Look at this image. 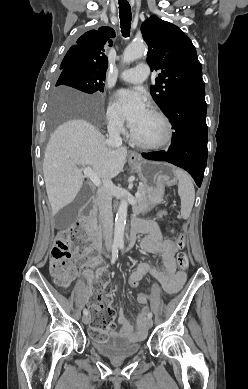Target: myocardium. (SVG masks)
<instances>
[{"instance_id":"1","label":"myocardium","mask_w":248,"mask_h":389,"mask_svg":"<svg viewBox=\"0 0 248 389\" xmlns=\"http://www.w3.org/2000/svg\"><path fill=\"white\" fill-rule=\"evenodd\" d=\"M148 110L161 121L164 128L163 136L158 141L146 142L137 138L133 133L132 129H130V133H129L130 139L134 144L144 149L156 150V149L163 148L169 145L173 138V129H172L171 122L169 118L157 107L150 106Z\"/></svg>"}]
</instances>
